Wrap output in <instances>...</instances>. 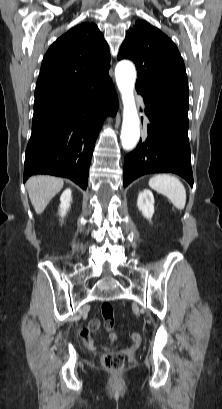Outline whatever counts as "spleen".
Listing matches in <instances>:
<instances>
[{
    "instance_id": "obj_1",
    "label": "spleen",
    "mask_w": 222,
    "mask_h": 409,
    "mask_svg": "<svg viewBox=\"0 0 222 409\" xmlns=\"http://www.w3.org/2000/svg\"><path fill=\"white\" fill-rule=\"evenodd\" d=\"M149 186L165 195L178 210L185 208L186 190L178 178L168 174H159L149 180Z\"/></svg>"
}]
</instances>
